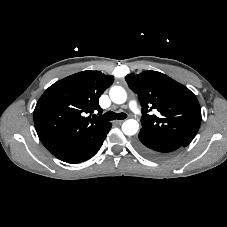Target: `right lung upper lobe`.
Here are the masks:
<instances>
[{
    "mask_svg": "<svg viewBox=\"0 0 227 227\" xmlns=\"http://www.w3.org/2000/svg\"><path fill=\"white\" fill-rule=\"evenodd\" d=\"M113 81L112 76L87 70L57 81L43 93L33 113L34 125L54 156L80 147L110 124L91 118V114L102 113L99 97Z\"/></svg>",
    "mask_w": 227,
    "mask_h": 227,
    "instance_id": "cb5924a9",
    "label": "right lung upper lobe"
}]
</instances>
